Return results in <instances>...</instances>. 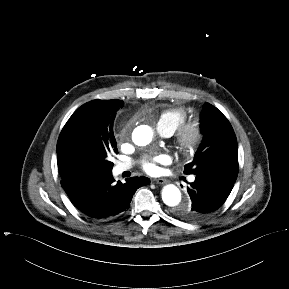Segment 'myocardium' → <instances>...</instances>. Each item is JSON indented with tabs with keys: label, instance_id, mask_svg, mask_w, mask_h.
Returning a JSON list of instances; mask_svg holds the SVG:
<instances>
[{
	"label": "myocardium",
	"instance_id": "obj_1",
	"mask_svg": "<svg viewBox=\"0 0 289 289\" xmlns=\"http://www.w3.org/2000/svg\"><path fill=\"white\" fill-rule=\"evenodd\" d=\"M203 140V127L198 119L185 121L176 131L175 142L183 154H192Z\"/></svg>",
	"mask_w": 289,
	"mask_h": 289
}]
</instances>
